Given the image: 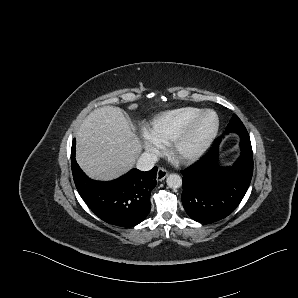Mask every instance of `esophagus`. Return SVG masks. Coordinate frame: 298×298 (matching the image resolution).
Here are the masks:
<instances>
[{
    "mask_svg": "<svg viewBox=\"0 0 298 298\" xmlns=\"http://www.w3.org/2000/svg\"><path fill=\"white\" fill-rule=\"evenodd\" d=\"M167 175H168V173L164 168H162V167L158 168L157 181H163L167 177Z\"/></svg>",
    "mask_w": 298,
    "mask_h": 298,
    "instance_id": "esophagus-1",
    "label": "esophagus"
}]
</instances>
